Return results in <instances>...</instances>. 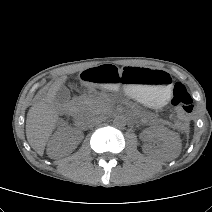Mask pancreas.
Listing matches in <instances>:
<instances>
[{
  "mask_svg": "<svg viewBox=\"0 0 212 212\" xmlns=\"http://www.w3.org/2000/svg\"><path fill=\"white\" fill-rule=\"evenodd\" d=\"M75 102L82 111H97L106 106L105 101L97 96L81 95L75 99Z\"/></svg>",
  "mask_w": 212,
  "mask_h": 212,
  "instance_id": "pancreas-1",
  "label": "pancreas"
}]
</instances>
